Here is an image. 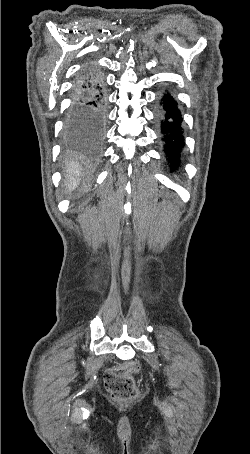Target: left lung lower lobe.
I'll return each instance as SVG.
<instances>
[{
	"mask_svg": "<svg viewBox=\"0 0 250 454\" xmlns=\"http://www.w3.org/2000/svg\"><path fill=\"white\" fill-rule=\"evenodd\" d=\"M161 101L163 109L160 116L163 141L165 142L164 151L171 169L174 170L180 164V152L184 146L182 118L172 96L166 94Z\"/></svg>",
	"mask_w": 250,
	"mask_h": 454,
	"instance_id": "obj_1",
	"label": "left lung lower lobe"
}]
</instances>
